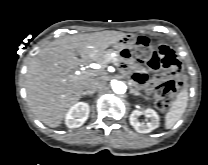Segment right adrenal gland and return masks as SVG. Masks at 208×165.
I'll list each match as a JSON object with an SVG mask.
<instances>
[{
    "mask_svg": "<svg viewBox=\"0 0 208 165\" xmlns=\"http://www.w3.org/2000/svg\"><path fill=\"white\" fill-rule=\"evenodd\" d=\"M86 95H89V96H91V97H92V94H91V93H89V92H87V91L83 93V96H86Z\"/></svg>",
    "mask_w": 208,
    "mask_h": 165,
    "instance_id": "1",
    "label": "right adrenal gland"
}]
</instances>
